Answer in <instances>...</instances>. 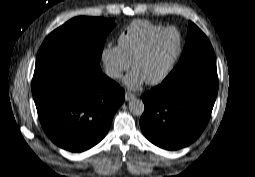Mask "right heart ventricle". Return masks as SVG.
Here are the masks:
<instances>
[{
    "label": "right heart ventricle",
    "mask_w": 255,
    "mask_h": 177,
    "mask_svg": "<svg viewBox=\"0 0 255 177\" xmlns=\"http://www.w3.org/2000/svg\"><path fill=\"white\" fill-rule=\"evenodd\" d=\"M165 28L160 24H155L146 20H136L131 22L120 34L119 46L129 63L133 60L137 52L142 48L147 39L155 32Z\"/></svg>",
    "instance_id": "e07e8e85"
}]
</instances>
